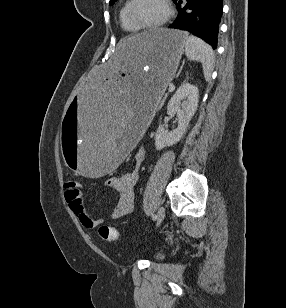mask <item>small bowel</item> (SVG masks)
<instances>
[{
  "label": "small bowel",
  "instance_id": "c3829d8e",
  "mask_svg": "<svg viewBox=\"0 0 286 308\" xmlns=\"http://www.w3.org/2000/svg\"><path fill=\"white\" fill-rule=\"evenodd\" d=\"M146 156L144 148H139L134 154V168L119 176L107 180V185L120 193L119 200L107 219H118L129 214L134 206V187L139 176V169ZM65 200L74 212L81 225L86 229H95L106 219H95L86 211L80 189L65 191Z\"/></svg>",
  "mask_w": 286,
  "mask_h": 308
}]
</instances>
